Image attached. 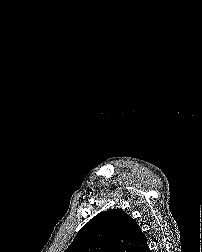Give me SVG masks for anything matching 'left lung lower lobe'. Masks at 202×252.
Returning <instances> with one entry per match:
<instances>
[{"instance_id": "1", "label": "left lung lower lobe", "mask_w": 202, "mask_h": 252, "mask_svg": "<svg viewBox=\"0 0 202 252\" xmlns=\"http://www.w3.org/2000/svg\"><path fill=\"white\" fill-rule=\"evenodd\" d=\"M134 252H151L147 244V239L141 230L138 235V242Z\"/></svg>"}]
</instances>
